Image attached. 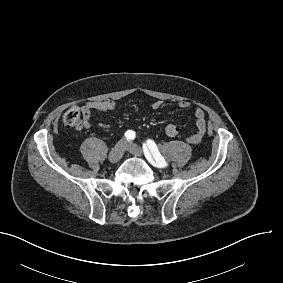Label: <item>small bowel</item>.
<instances>
[{"instance_id": "1", "label": "small bowel", "mask_w": 283, "mask_h": 283, "mask_svg": "<svg viewBox=\"0 0 283 283\" xmlns=\"http://www.w3.org/2000/svg\"><path fill=\"white\" fill-rule=\"evenodd\" d=\"M163 105H164L163 101L155 100L152 102L151 108L153 110H160L163 107ZM178 106L181 109H188L190 107V103L188 101L183 100L178 103ZM115 108H116V103L111 99L89 101L85 103L81 107V111L83 114L81 126L88 129L91 126V121H95V122L105 121L107 119V114L105 113V111H112ZM194 120H195V131L186 138V141L191 145L199 144L206 133L207 123H206L205 112L202 108L197 107L194 110Z\"/></svg>"}]
</instances>
